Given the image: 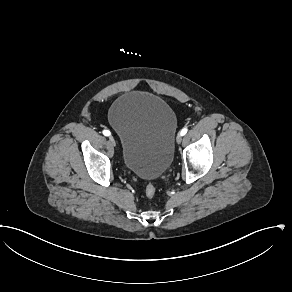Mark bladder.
<instances>
[{"label":"bladder","mask_w":292,"mask_h":292,"mask_svg":"<svg viewBox=\"0 0 292 292\" xmlns=\"http://www.w3.org/2000/svg\"><path fill=\"white\" fill-rule=\"evenodd\" d=\"M108 119L120 139L127 171L143 179L166 172L173 159L177 118L164 99L142 91L123 93Z\"/></svg>","instance_id":"31cf9c89"}]
</instances>
